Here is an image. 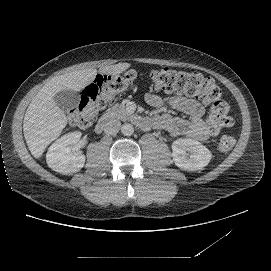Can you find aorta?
Masks as SVG:
<instances>
[{
  "label": "aorta",
  "instance_id": "aorta-1",
  "mask_svg": "<svg viewBox=\"0 0 271 271\" xmlns=\"http://www.w3.org/2000/svg\"><path fill=\"white\" fill-rule=\"evenodd\" d=\"M134 132V127L131 123H124L121 126V133L125 136H130Z\"/></svg>",
  "mask_w": 271,
  "mask_h": 271
}]
</instances>
